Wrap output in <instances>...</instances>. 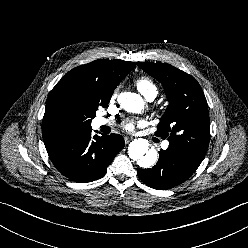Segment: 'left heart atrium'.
<instances>
[{
  "mask_svg": "<svg viewBox=\"0 0 248 248\" xmlns=\"http://www.w3.org/2000/svg\"><path fill=\"white\" fill-rule=\"evenodd\" d=\"M124 128L127 131H133L134 128H135V123L134 122H129V123H127V124L124 125Z\"/></svg>",
  "mask_w": 248,
  "mask_h": 248,
  "instance_id": "left-heart-atrium-1",
  "label": "left heart atrium"
}]
</instances>
